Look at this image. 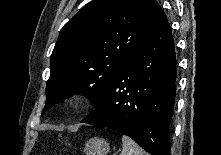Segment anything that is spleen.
Returning a JSON list of instances; mask_svg holds the SVG:
<instances>
[{"label":"spleen","instance_id":"spleen-1","mask_svg":"<svg viewBox=\"0 0 221 155\" xmlns=\"http://www.w3.org/2000/svg\"><path fill=\"white\" fill-rule=\"evenodd\" d=\"M123 149L120 155H147L131 138L122 137Z\"/></svg>","mask_w":221,"mask_h":155}]
</instances>
